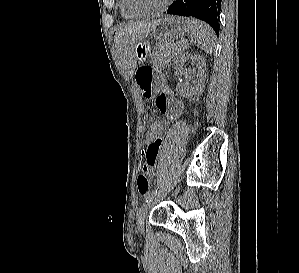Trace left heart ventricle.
Wrapping results in <instances>:
<instances>
[{
  "label": "left heart ventricle",
  "mask_w": 299,
  "mask_h": 273,
  "mask_svg": "<svg viewBox=\"0 0 299 273\" xmlns=\"http://www.w3.org/2000/svg\"><path fill=\"white\" fill-rule=\"evenodd\" d=\"M164 0H131L132 5L140 10H153L159 7Z\"/></svg>",
  "instance_id": "1"
}]
</instances>
